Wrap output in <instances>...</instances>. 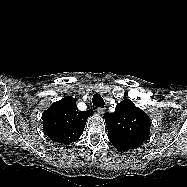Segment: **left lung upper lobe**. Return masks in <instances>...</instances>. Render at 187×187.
<instances>
[{
	"instance_id": "5c2ea615",
	"label": "left lung upper lobe",
	"mask_w": 187,
	"mask_h": 187,
	"mask_svg": "<svg viewBox=\"0 0 187 187\" xmlns=\"http://www.w3.org/2000/svg\"><path fill=\"white\" fill-rule=\"evenodd\" d=\"M110 142L120 151L140 147L150 135V118L134 103L125 99L120 102L113 113H105Z\"/></svg>"
}]
</instances>
